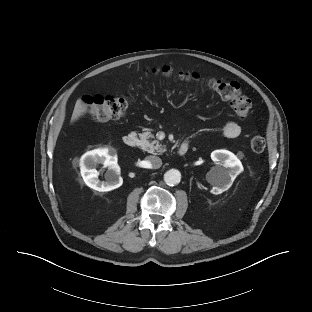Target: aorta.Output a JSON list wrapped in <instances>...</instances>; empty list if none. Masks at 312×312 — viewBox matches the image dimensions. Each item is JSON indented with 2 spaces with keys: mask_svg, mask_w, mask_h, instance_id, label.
<instances>
[{
  "mask_svg": "<svg viewBox=\"0 0 312 312\" xmlns=\"http://www.w3.org/2000/svg\"><path fill=\"white\" fill-rule=\"evenodd\" d=\"M181 173L176 169H170L164 174V181L169 186H174L180 183Z\"/></svg>",
  "mask_w": 312,
  "mask_h": 312,
  "instance_id": "762f6f07",
  "label": "aorta"
}]
</instances>
